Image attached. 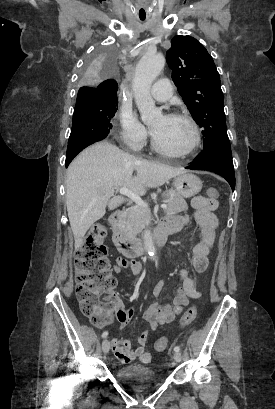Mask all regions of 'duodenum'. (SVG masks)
<instances>
[{
  "instance_id": "obj_1",
  "label": "duodenum",
  "mask_w": 275,
  "mask_h": 409,
  "mask_svg": "<svg viewBox=\"0 0 275 409\" xmlns=\"http://www.w3.org/2000/svg\"><path fill=\"white\" fill-rule=\"evenodd\" d=\"M122 216L123 214L121 211H116L109 217L113 242L119 252H121L125 257L130 259L137 258L145 252V247L141 243L129 237L122 226ZM174 231L175 227L167 223H162L156 227L152 235L155 245H163L167 240V236Z\"/></svg>"
}]
</instances>
